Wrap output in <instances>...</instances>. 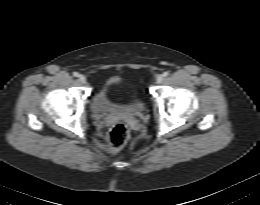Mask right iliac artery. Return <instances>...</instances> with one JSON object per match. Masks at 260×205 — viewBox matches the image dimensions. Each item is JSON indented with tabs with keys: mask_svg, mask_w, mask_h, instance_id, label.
Returning a JSON list of instances; mask_svg holds the SVG:
<instances>
[{
	"mask_svg": "<svg viewBox=\"0 0 260 205\" xmlns=\"http://www.w3.org/2000/svg\"><path fill=\"white\" fill-rule=\"evenodd\" d=\"M73 75H74L75 77H78V76H79V73H78V72H74Z\"/></svg>",
	"mask_w": 260,
	"mask_h": 205,
	"instance_id": "right-iliac-artery-1",
	"label": "right iliac artery"
}]
</instances>
